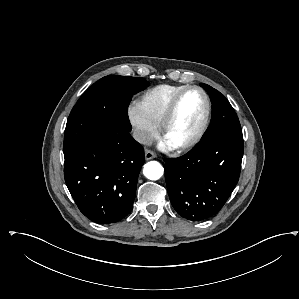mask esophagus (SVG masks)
I'll return each mask as SVG.
<instances>
[{"label": "esophagus", "instance_id": "esophagus-1", "mask_svg": "<svg viewBox=\"0 0 299 299\" xmlns=\"http://www.w3.org/2000/svg\"><path fill=\"white\" fill-rule=\"evenodd\" d=\"M155 157H156V154L153 151H151V150H146L145 151V159L146 160H150V159H153Z\"/></svg>", "mask_w": 299, "mask_h": 299}]
</instances>
